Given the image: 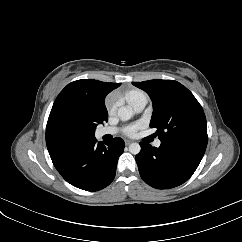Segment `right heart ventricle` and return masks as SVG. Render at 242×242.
<instances>
[{
  "label": "right heart ventricle",
  "mask_w": 242,
  "mask_h": 242,
  "mask_svg": "<svg viewBox=\"0 0 242 242\" xmlns=\"http://www.w3.org/2000/svg\"><path fill=\"white\" fill-rule=\"evenodd\" d=\"M144 93L139 91V90H132L130 91L127 95H126V98L128 100V102L131 104V102L137 98L138 96L140 95H143Z\"/></svg>",
  "instance_id": "e07e8e85"
}]
</instances>
